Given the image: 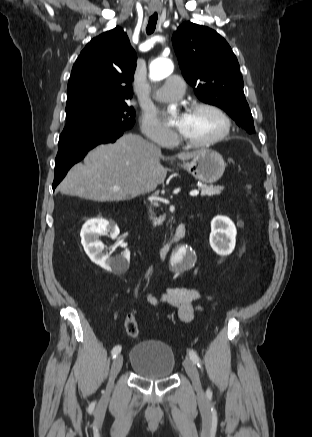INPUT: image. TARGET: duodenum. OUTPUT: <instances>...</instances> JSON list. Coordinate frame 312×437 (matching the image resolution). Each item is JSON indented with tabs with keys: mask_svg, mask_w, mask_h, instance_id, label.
I'll return each instance as SVG.
<instances>
[{
	"mask_svg": "<svg viewBox=\"0 0 312 437\" xmlns=\"http://www.w3.org/2000/svg\"><path fill=\"white\" fill-rule=\"evenodd\" d=\"M185 234V224L184 223H180L172 237V239L170 240V242L165 245L164 247L161 248V253L165 254L167 253V251L169 250V248L173 245L176 244L177 242H179L182 237Z\"/></svg>",
	"mask_w": 312,
	"mask_h": 437,
	"instance_id": "duodenum-1",
	"label": "duodenum"
}]
</instances>
